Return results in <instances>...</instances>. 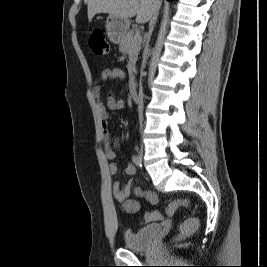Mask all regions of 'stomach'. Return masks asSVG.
I'll list each match as a JSON object with an SVG mask.
<instances>
[{
	"mask_svg": "<svg viewBox=\"0 0 267 267\" xmlns=\"http://www.w3.org/2000/svg\"><path fill=\"white\" fill-rule=\"evenodd\" d=\"M130 27V20L109 15L106 20L108 39L113 43H119Z\"/></svg>",
	"mask_w": 267,
	"mask_h": 267,
	"instance_id": "1",
	"label": "stomach"
}]
</instances>
